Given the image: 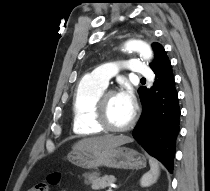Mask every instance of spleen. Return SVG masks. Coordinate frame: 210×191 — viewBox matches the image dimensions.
Listing matches in <instances>:
<instances>
[{
  "label": "spleen",
  "mask_w": 210,
  "mask_h": 191,
  "mask_svg": "<svg viewBox=\"0 0 210 191\" xmlns=\"http://www.w3.org/2000/svg\"><path fill=\"white\" fill-rule=\"evenodd\" d=\"M149 164H150V171L145 173L140 180V185L142 187H147L154 184L160 175V168L158 162L153 158H150Z\"/></svg>",
  "instance_id": "spleen-1"
}]
</instances>
